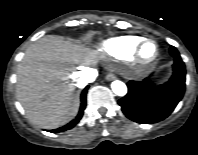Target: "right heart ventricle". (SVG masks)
Returning a JSON list of instances; mask_svg holds the SVG:
<instances>
[{
  "label": "right heart ventricle",
  "mask_w": 198,
  "mask_h": 155,
  "mask_svg": "<svg viewBox=\"0 0 198 155\" xmlns=\"http://www.w3.org/2000/svg\"><path fill=\"white\" fill-rule=\"evenodd\" d=\"M136 37H120L106 41L104 48L115 57H122L138 42Z\"/></svg>",
  "instance_id": "obj_1"
}]
</instances>
